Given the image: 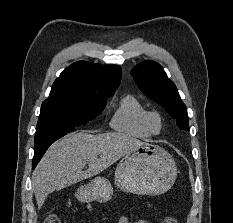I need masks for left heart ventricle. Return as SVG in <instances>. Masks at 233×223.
<instances>
[{
  "label": "left heart ventricle",
  "instance_id": "obj_1",
  "mask_svg": "<svg viewBox=\"0 0 233 223\" xmlns=\"http://www.w3.org/2000/svg\"><path fill=\"white\" fill-rule=\"evenodd\" d=\"M152 129L155 132H158V131H160L162 129V123L159 120V118H157V117L153 118V120H152Z\"/></svg>",
  "mask_w": 233,
  "mask_h": 223
}]
</instances>
